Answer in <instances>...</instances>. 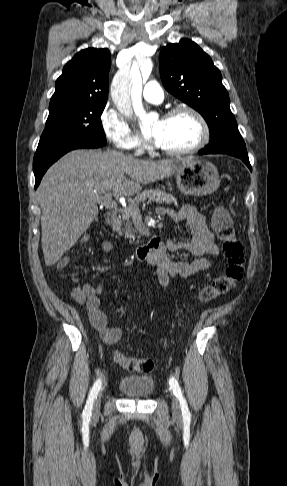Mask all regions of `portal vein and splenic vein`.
Here are the masks:
<instances>
[{
	"label": "portal vein and splenic vein",
	"instance_id": "18ae733b",
	"mask_svg": "<svg viewBox=\"0 0 287 486\" xmlns=\"http://www.w3.org/2000/svg\"><path fill=\"white\" fill-rule=\"evenodd\" d=\"M99 203L103 204L107 208H115L117 207V203L115 200L112 199L111 193H106L104 196H101L100 199L97 200ZM136 211L135 213H138Z\"/></svg>",
	"mask_w": 287,
	"mask_h": 486
}]
</instances>
